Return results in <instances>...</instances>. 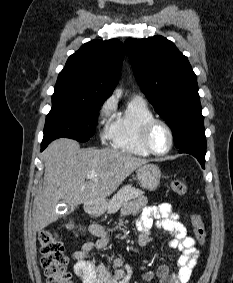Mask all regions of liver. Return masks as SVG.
<instances>
[{
    "label": "liver",
    "mask_w": 233,
    "mask_h": 283,
    "mask_svg": "<svg viewBox=\"0 0 233 283\" xmlns=\"http://www.w3.org/2000/svg\"><path fill=\"white\" fill-rule=\"evenodd\" d=\"M44 183L36 198L35 230L41 231L60 217V202L69 208L110 196L137 168L143 158L114 149H80L77 141L60 138L43 152ZM97 174L87 178V173ZM89 179V180H88Z\"/></svg>",
    "instance_id": "1"
}]
</instances>
